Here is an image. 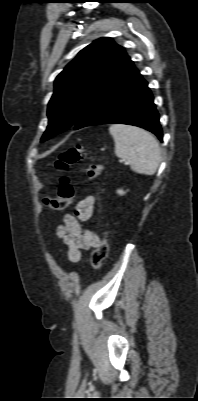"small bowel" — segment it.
<instances>
[{"mask_svg":"<svg viewBox=\"0 0 198 401\" xmlns=\"http://www.w3.org/2000/svg\"><path fill=\"white\" fill-rule=\"evenodd\" d=\"M95 199L88 196L80 200L72 213L63 217V222L57 227V236L68 247V259L77 263L81 253L96 248L100 242L98 234L92 229H83L81 223L88 221L93 215Z\"/></svg>","mask_w":198,"mask_h":401,"instance_id":"1","label":"small bowel"}]
</instances>
